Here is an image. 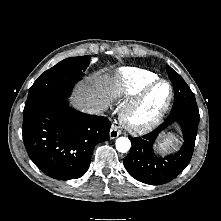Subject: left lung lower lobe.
Returning a JSON list of instances; mask_svg holds the SVG:
<instances>
[{
  "label": "left lung lower lobe",
  "mask_w": 221,
  "mask_h": 221,
  "mask_svg": "<svg viewBox=\"0 0 221 221\" xmlns=\"http://www.w3.org/2000/svg\"><path fill=\"white\" fill-rule=\"evenodd\" d=\"M172 85L174 104L165 123L142 137L129 136L132 147L124 158V165L133 178L146 184L160 185L175 178L189 164L194 151L200 120L192 116L197 110L195 96L185 83L176 82ZM173 122L181 126L183 145L173 155L156 156L153 145L158 135Z\"/></svg>",
  "instance_id": "left-lung-lower-lobe-1"
}]
</instances>
